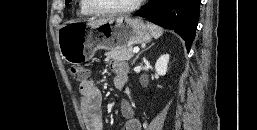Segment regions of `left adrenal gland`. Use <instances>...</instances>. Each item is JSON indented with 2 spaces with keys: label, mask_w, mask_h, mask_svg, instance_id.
I'll list each match as a JSON object with an SVG mask.
<instances>
[{
  "label": "left adrenal gland",
  "mask_w": 257,
  "mask_h": 130,
  "mask_svg": "<svg viewBox=\"0 0 257 130\" xmlns=\"http://www.w3.org/2000/svg\"><path fill=\"white\" fill-rule=\"evenodd\" d=\"M154 44H152L151 46H153ZM151 46H149L148 48L142 50L140 53H138V55L134 58L132 65L135 64V61L139 58V56L145 51L148 50L149 48H151Z\"/></svg>",
  "instance_id": "obj_1"
}]
</instances>
